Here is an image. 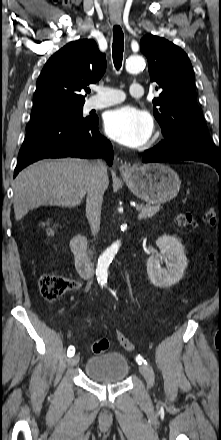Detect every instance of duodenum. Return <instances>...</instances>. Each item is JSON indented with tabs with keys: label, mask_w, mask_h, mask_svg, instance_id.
<instances>
[{
	"label": "duodenum",
	"mask_w": 221,
	"mask_h": 440,
	"mask_svg": "<svg viewBox=\"0 0 221 440\" xmlns=\"http://www.w3.org/2000/svg\"><path fill=\"white\" fill-rule=\"evenodd\" d=\"M71 250L75 258V267L80 276L90 278L94 266L87 251V239L82 234H76L71 241Z\"/></svg>",
	"instance_id": "410a0bca"
}]
</instances>
